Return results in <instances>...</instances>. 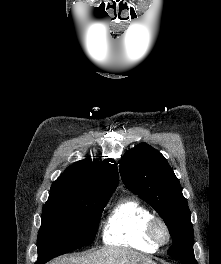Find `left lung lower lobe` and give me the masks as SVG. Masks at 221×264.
Masks as SVG:
<instances>
[{"instance_id":"obj_1","label":"left lung lower lobe","mask_w":221,"mask_h":264,"mask_svg":"<svg viewBox=\"0 0 221 264\" xmlns=\"http://www.w3.org/2000/svg\"><path fill=\"white\" fill-rule=\"evenodd\" d=\"M183 264H198L195 258L180 259Z\"/></svg>"}]
</instances>
